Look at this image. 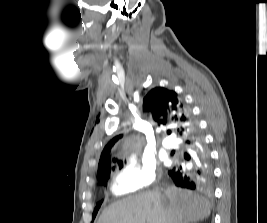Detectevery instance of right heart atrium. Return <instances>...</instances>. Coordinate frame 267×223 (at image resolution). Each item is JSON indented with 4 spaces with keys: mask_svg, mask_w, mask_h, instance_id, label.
<instances>
[{
    "mask_svg": "<svg viewBox=\"0 0 267 223\" xmlns=\"http://www.w3.org/2000/svg\"><path fill=\"white\" fill-rule=\"evenodd\" d=\"M156 180L157 170L152 162H127L115 172L111 189L116 195L139 193Z\"/></svg>",
    "mask_w": 267,
    "mask_h": 223,
    "instance_id": "right-heart-atrium-1",
    "label": "right heart atrium"
}]
</instances>
